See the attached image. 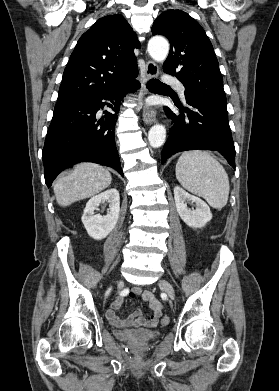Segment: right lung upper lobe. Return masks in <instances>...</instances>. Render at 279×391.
<instances>
[{
  "label": "right lung upper lobe",
  "mask_w": 279,
  "mask_h": 391,
  "mask_svg": "<svg viewBox=\"0 0 279 391\" xmlns=\"http://www.w3.org/2000/svg\"><path fill=\"white\" fill-rule=\"evenodd\" d=\"M140 44L121 15L97 20L77 42L64 70L56 105L89 99L122 87L137 75Z\"/></svg>",
  "instance_id": "1"
}]
</instances>
